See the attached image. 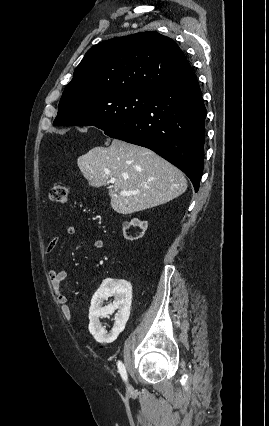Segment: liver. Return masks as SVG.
<instances>
[{"label":"liver","mask_w":269,"mask_h":426,"mask_svg":"<svg viewBox=\"0 0 269 426\" xmlns=\"http://www.w3.org/2000/svg\"><path fill=\"white\" fill-rule=\"evenodd\" d=\"M83 176L92 187L116 181L109 190L111 207L131 214L165 204L187 190L182 171L153 151L113 139L109 147H94L77 160ZM121 191L137 192L123 196Z\"/></svg>","instance_id":"obj_1"}]
</instances>
